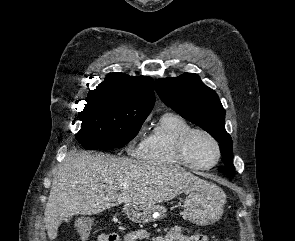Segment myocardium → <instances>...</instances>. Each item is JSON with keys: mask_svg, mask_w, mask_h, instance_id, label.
I'll return each instance as SVG.
<instances>
[{"mask_svg": "<svg viewBox=\"0 0 295 241\" xmlns=\"http://www.w3.org/2000/svg\"><path fill=\"white\" fill-rule=\"evenodd\" d=\"M195 134L205 135L215 145V148L217 151V156H216L215 161L208 166L196 165V164L192 163L188 157V154H187L188 145ZM176 154H177V157L180 160L181 164H183L187 168H190L192 170L205 171V170H210V169L214 168L220 162L221 156H222V151H221V146H220L219 141L209 131L202 129V128H191L178 141L177 147H176Z\"/></svg>", "mask_w": 295, "mask_h": 241, "instance_id": "myocardium-1", "label": "myocardium"}]
</instances>
